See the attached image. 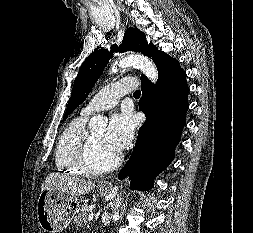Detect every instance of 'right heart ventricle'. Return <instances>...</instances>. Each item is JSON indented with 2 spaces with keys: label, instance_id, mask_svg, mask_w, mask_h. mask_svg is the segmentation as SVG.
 I'll list each match as a JSON object with an SVG mask.
<instances>
[{
  "label": "right heart ventricle",
  "instance_id": "1",
  "mask_svg": "<svg viewBox=\"0 0 253 233\" xmlns=\"http://www.w3.org/2000/svg\"><path fill=\"white\" fill-rule=\"evenodd\" d=\"M87 115L81 113L63 129L55 149L56 169L66 175H83L87 172L78 163L79 149L88 135L85 127Z\"/></svg>",
  "mask_w": 253,
  "mask_h": 233
}]
</instances>
